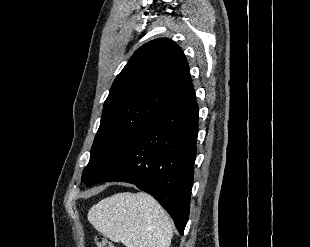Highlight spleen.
Instances as JSON below:
<instances>
[{"label": "spleen", "instance_id": "spleen-1", "mask_svg": "<svg viewBox=\"0 0 310 247\" xmlns=\"http://www.w3.org/2000/svg\"><path fill=\"white\" fill-rule=\"evenodd\" d=\"M93 227L126 247H169L172 223L161 205L144 192L117 193L88 212Z\"/></svg>", "mask_w": 310, "mask_h": 247}]
</instances>
